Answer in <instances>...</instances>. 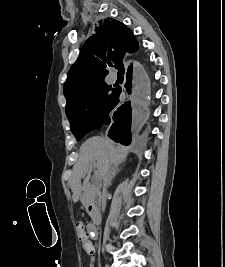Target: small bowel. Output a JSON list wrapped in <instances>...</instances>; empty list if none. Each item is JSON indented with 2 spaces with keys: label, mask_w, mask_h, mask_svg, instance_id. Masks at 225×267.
I'll return each instance as SVG.
<instances>
[{
  "label": "small bowel",
  "mask_w": 225,
  "mask_h": 267,
  "mask_svg": "<svg viewBox=\"0 0 225 267\" xmlns=\"http://www.w3.org/2000/svg\"><path fill=\"white\" fill-rule=\"evenodd\" d=\"M85 232V236H86V241L90 244V249L89 250H85L88 254L93 255L94 253V247L91 243V238L90 235H94L95 232V228L92 225H88L86 230L84 229ZM78 238L80 240V242H83V239L81 238V233L78 232Z\"/></svg>",
  "instance_id": "c3829d8e"
}]
</instances>
